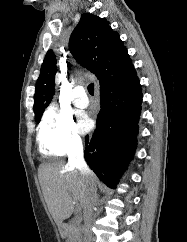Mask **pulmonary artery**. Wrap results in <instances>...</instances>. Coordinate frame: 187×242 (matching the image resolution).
Returning a JSON list of instances; mask_svg holds the SVG:
<instances>
[{
  "mask_svg": "<svg viewBox=\"0 0 187 242\" xmlns=\"http://www.w3.org/2000/svg\"><path fill=\"white\" fill-rule=\"evenodd\" d=\"M73 103L78 108H86L88 106V98L85 89L82 86H76L72 93Z\"/></svg>",
  "mask_w": 187,
  "mask_h": 242,
  "instance_id": "1",
  "label": "pulmonary artery"
}]
</instances>
